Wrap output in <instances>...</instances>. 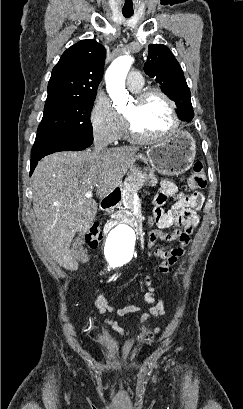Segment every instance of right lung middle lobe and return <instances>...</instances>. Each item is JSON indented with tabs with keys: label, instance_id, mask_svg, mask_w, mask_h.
<instances>
[{
	"label": "right lung middle lobe",
	"instance_id": "right-lung-middle-lobe-1",
	"mask_svg": "<svg viewBox=\"0 0 243 409\" xmlns=\"http://www.w3.org/2000/svg\"><path fill=\"white\" fill-rule=\"evenodd\" d=\"M94 100L95 98L46 102L37 135L91 137L93 131L90 113Z\"/></svg>",
	"mask_w": 243,
	"mask_h": 409
}]
</instances>
